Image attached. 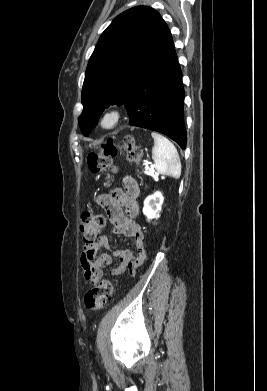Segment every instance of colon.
<instances>
[{
  "mask_svg": "<svg viewBox=\"0 0 267 391\" xmlns=\"http://www.w3.org/2000/svg\"><path fill=\"white\" fill-rule=\"evenodd\" d=\"M122 148L125 150L127 159L130 162L139 163L142 157V149L138 146L132 136H126ZM117 154V147L109 139L102 146V151L92 152L87 156V164L92 173H105L106 179L110 180L115 173L116 167L112 164V158ZM105 226V218L102 214L86 211L81 218L80 229L84 243V249L92 247L97 241ZM113 283L110 280H102L95 287L90 289L84 297L87 309L101 310L111 300L113 294Z\"/></svg>",
  "mask_w": 267,
  "mask_h": 391,
  "instance_id": "obj_1",
  "label": "colon"
}]
</instances>
